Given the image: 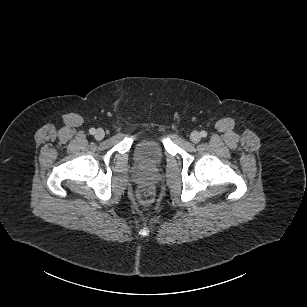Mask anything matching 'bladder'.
Wrapping results in <instances>:
<instances>
[{
    "mask_svg": "<svg viewBox=\"0 0 307 307\" xmlns=\"http://www.w3.org/2000/svg\"><path fill=\"white\" fill-rule=\"evenodd\" d=\"M164 158L163 144L157 139L147 138L136 145L134 159L144 168L153 169L159 166Z\"/></svg>",
    "mask_w": 307,
    "mask_h": 307,
    "instance_id": "31cf9c89",
    "label": "bladder"
}]
</instances>
